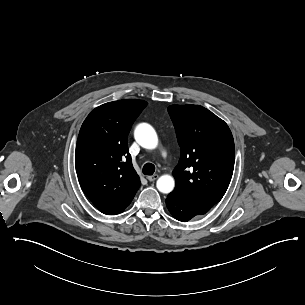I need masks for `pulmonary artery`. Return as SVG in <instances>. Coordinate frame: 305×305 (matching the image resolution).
Listing matches in <instances>:
<instances>
[{
  "mask_svg": "<svg viewBox=\"0 0 305 305\" xmlns=\"http://www.w3.org/2000/svg\"><path fill=\"white\" fill-rule=\"evenodd\" d=\"M159 157L161 159H167L169 157V152L167 150H161L159 152Z\"/></svg>",
  "mask_w": 305,
  "mask_h": 305,
  "instance_id": "obj_1",
  "label": "pulmonary artery"
}]
</instances>
